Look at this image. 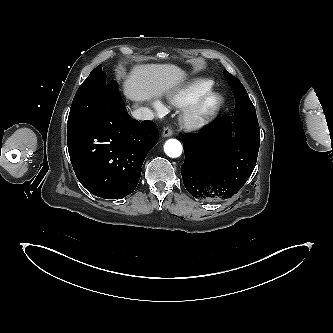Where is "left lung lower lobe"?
Masks as SVG:
<instances>
[{"mask_svg":"<svg viewBox=\"0 0 333 333\" xmlns=\"http://www.w3.org/2000/svg\"><path fill=\"white\" fill-rule=\"evenodd\" d=\"M226 121L220 118L198 134L181 136L185 152L183 183L189 193L205 201L237 194L256 165L258 122L254 133L250 127H232Z\"/></svg>","mask_w":333,"mask_h":333,"instance_id":"0a47b994","label":"left lung lower lobe"}]
</instances>
